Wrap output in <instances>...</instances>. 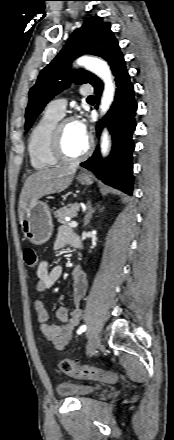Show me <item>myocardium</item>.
Instances as JSON below:
<instances>
[{
  "instance_id": "obj_1",
  "label": "myocardium",
  "mask_w": 174,
  "mask_h": 440,
  "mask_svg": "<svg viewBox=\"0 0 174 440\" xmlns=\"http://www.w3.org/2000/svg\"><path fill=\"white\" fill-rule=\"evenodd\" d=\"M71 118H65L57 122V124L54 127L53 134H52V140H51V152L54 158L61 163L65 164H72L77 163L86 158L91 149H92V139H87V145L85 150L78 156L70 157L68 156L63 148V126L65 123L70 122Z\"/></svg>"
}]
</instances>
